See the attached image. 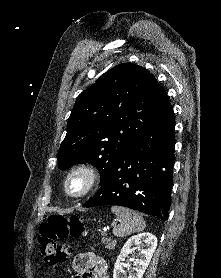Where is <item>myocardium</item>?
<instances>
[{
    "instance_id": "myocardium-1",
    "label": "myocardium",
    "mask_w": 221,
    "mask_h": 278,
    "mask_svg": "<svg viewBox=\"0 0 221 278\" xmlns=\"http://www.w3.org/2000/svg\"><path fill=\"white\" fill-rule=\"evenodd\" d=\"M100 175L99 168L91 162H81L72 166L64 179L65 194L72 199L84 198L96 187ZM76 177L82 179V186L79 190L73 192L70 190V183Z\"/></svg>"
}]
</instances>
